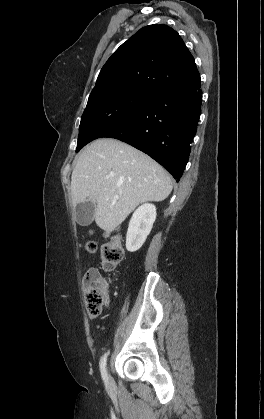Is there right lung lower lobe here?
<instances>
[{"label":"right lung lower lobe","mask_w":264,"mask_h":419,"mask_svg":"<svg viewBox=\"0 0 264 419\" xmlns=\"http://www.w3.org/2000/svg\"><path fill=\"white\" fill-rule=\"evenodd\" d=\"M200 81L147 98L126 120L103 133L148 154L178 182L189 159L201 114Z\"/></svg>","instance_id":"98d812e1"}]
</instances>
